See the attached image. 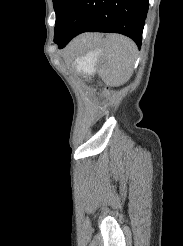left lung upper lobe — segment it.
Wrapping results in <instances>:
<instances>
[{
    "label": "left lung upper lobe",
    "instance_id": "obj_1",
    "mask_svg": "<svg viewBox=\"0 0 183 246\" xmlns=\"http://www.w3.org/2000/svg\"><path fill=\"white\" fill-rule=\"evenodd\" d=\"M75 1L76 0H53L56 13L55 34L63 25Z\"/></svg>",
    "mask_w": 183,
    "mask_h": 246
}]
</instances>
